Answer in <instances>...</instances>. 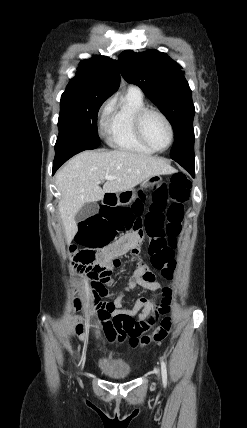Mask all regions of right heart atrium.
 Returning <instances> with one entry per match:
<instances>
[{
  "label": "right heart atrium",
  "mask_w": 247,
  "mask_h": 428,
  "mask_svg": "<svg viewBox=\"0 0 247 428\" xmlns=\"http://www.w3.org/2000/svg\"><path fill=\"white\" fill-rule=\"evenodd\" d=\"M108 111H109V105H108V104L104 105V106L101 108V110H100V114H101V117H102L103 119L107 116Z\"/></svg>",
  "instance_id": "d8ad5b80"
}]
</instances>
